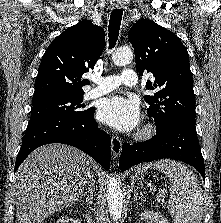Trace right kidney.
Masks as SVG:
<instances>
[{"mask_svg":"<svg viewBox=\"0 0 221 223\" xmlns=\"http://www.w3.org/2000/svg\"><path fill=\"white\" fill-rule=\"evenodd\" d=\"M68 222H69L68 216H62L60 219L57 220L56 223H68Z\"/></svg>","mask_w":221,"mask_h":223,"instance_id":"1","label":"right kidney"}]
</instances>
